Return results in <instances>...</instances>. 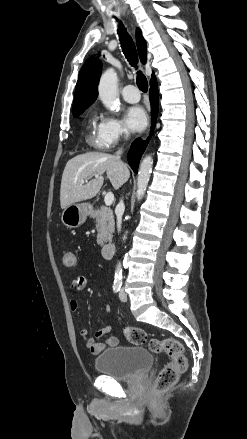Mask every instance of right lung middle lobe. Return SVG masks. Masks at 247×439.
<instances>
[{
    "label": "right lung middle lobe",
    "mask_w": 247,
    "mask_h": 439,
    "mask_svg": "<svg viewBox=\"0 0 247 439\" xmlns=\"http://www.w3.org/2000/svg\"><path fill=\"white\" fill-rule=\"evenodd\" d=\"M84 110H85V109L73 113V116H75V117L79 116L80 114L83 113Z\"/></svg>",
    "instance_id": "right-lung-middle-lobe-1"
}]
</instances>
